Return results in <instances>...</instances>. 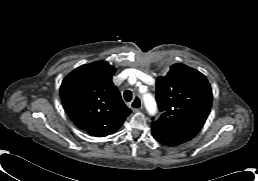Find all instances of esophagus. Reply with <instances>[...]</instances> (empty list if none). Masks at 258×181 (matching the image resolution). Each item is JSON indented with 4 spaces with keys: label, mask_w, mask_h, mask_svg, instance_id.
<instances>
[{
    "label": "esophagus",
    "mask_w": 258,
    "mask_h": 181,
    "mask_svg": "<svg viewBox=\"0 0 258 181\" xmlns=\"http://www.w3.org/2000/svg\"><path fill=\"white\" fill-rule=\"evenodd\" d=\"M131 109L134 112H138L142 109V101L141 99L137 96L134 98V100L130 104Z\"/></svg>",
    "instance_id": "obj_1"
}]
</instances>
